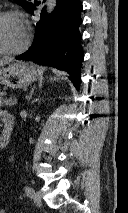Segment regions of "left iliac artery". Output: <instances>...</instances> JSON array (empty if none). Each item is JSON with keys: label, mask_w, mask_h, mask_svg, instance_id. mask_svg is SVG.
I'll list each match as a JSON object with an SVG mask.
<instances>
[{"label": "left iliac artery", "mask_w": 128, "mask_h": 213, "mask_svg": "<svg viewBox=\"0 0 128 213\" xmlns=\"http://www.w3.org/2000/svg\"><path fill=\"white\" fill-rule=\"evenodd\" d=\"M33 192L34 191L30 186L25 187V193L27 194V196L32 197Z\"/></svg>", "instance_id": "44dca946"}]
</instances>
